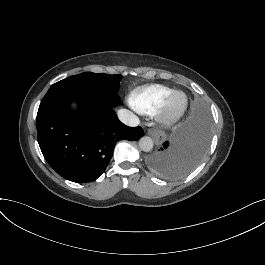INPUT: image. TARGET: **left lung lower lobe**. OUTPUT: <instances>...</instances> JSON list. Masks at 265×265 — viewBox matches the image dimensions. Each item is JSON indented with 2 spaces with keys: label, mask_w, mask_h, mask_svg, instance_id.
Listing matches in <instances>:
<instances>
[{
  "label": "left lung lower lobe",
  "mask_w": 265,
  "mask_h": 265,
  "mask_svg": "<svg viewBox=\"0 0 265 265\" xmlns=\"http://www.w3.org/2000/svg\"><path fill=\"white\" fill-rule=\"evenodd\" d=\"M209 140L208 112L204 105L195 104L185 122L147 158L148 166L165 178L182 177L201 162Z\"/></svg>",
  "instance_id": "obj_1"
}]
</instances>
